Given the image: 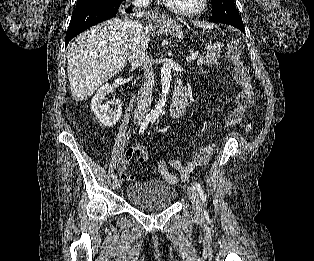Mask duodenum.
Instances as JSON below:
<instances>
[{
	"label": "duodenum",
	"mask_w": 314,
	"mask_h": 261,
	"mask_svg": "<svg viewBox=\"0 0 314 261\" xmlns=\"http://www.w3.org/2000/svg\"><path fill=\"white\" fill-rule=\"evenodd\" d=\"M187 98V91L182 83L179 81L175 86L171 99L170 108L172 113L183 112L187 105Z\"/></svg>",
	"instance_id": "1"
}]
</instances>
